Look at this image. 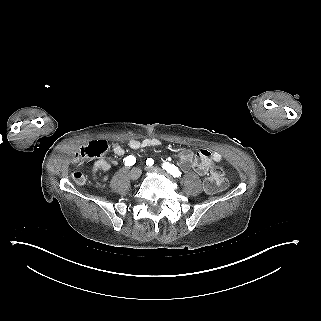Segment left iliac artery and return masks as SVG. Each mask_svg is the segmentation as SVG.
Masks as SVG:
<instances>
[{"mask_svg":"<svg viewBox=\"0 0 321 321\" xmlns=\"http://www.w3.org/2000/svg\"><path fill=\"white\" fill-rule=\"evenodd\" d=\"M153 164H154V160L152 158H148L146 160V165L147 166H153ZM162 168L164 170H166L168 173H170L171 175H173L174 177L181 176L180 170L173 164L164 163Z\"/></svg>","mask_w":321,"mask_h":321,"instance_id":"left-iliac-artery-1","label":"left iliac artery"}]
</instances>
